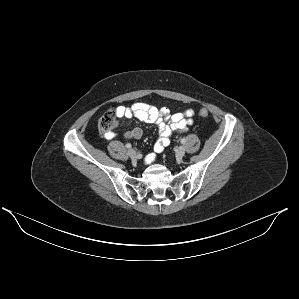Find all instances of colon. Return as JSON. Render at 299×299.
I'll use <instances>...</instances> for the list:
<instances>
[{"label": "colon", "instance_id": "obj_1", "mask_svg": "<svg viewBox=\"0 0 299 299\" xmlns=\"http://www.w3.org/2000/svg\"><path fill=\"white\" fill-rule=\"evenodd\" d=\"M200 116L205 118L208 116L206 109H201L199 112ZM117 124V115L113 112H106L98 120V127L104 133L112 132Z\"/></svg>", "mask_w": 299, "mask_h": 299}]
</instances>
